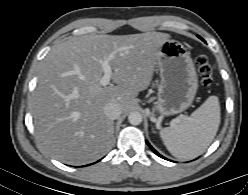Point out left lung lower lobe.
Masks as SVG:
<instances>
[{"mask_svg":"<svg viewBox=\"0 0 248 195\" xmlns=\"http://www.w3.org/2000/svg\"><path fill=\"white\" fill-rule=\"evenodd\" d=\"M146 143L148 144V146L150 147V148H152V146L148 143V141H146ZM152 150L154 151V153L156 154V155H158L159 157H161V158H164L163 156H161L156 150H154L153 148H152Z\"/></svg>","mask_w":248,"mask_h":195,"instance_id":"obj_1","label":"left lung lower lobe"}]
</instances>
